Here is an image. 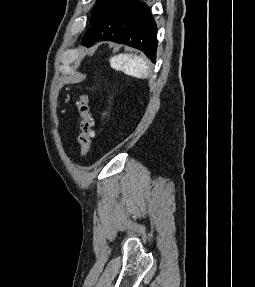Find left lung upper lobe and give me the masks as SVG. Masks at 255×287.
<instances>
[{"instance_id":"left-lung-upper-lobe-1","label":"left lung upper lobe","mask_w":255,"mask_h":287,"mask_svg":"<svg viewBox=\"0 0 255 287\" xmlns=\"http://www.w3.org/2000/svg\"><path fill=\"white\" fill-rule=\"evenodd\" d=\"M114 1L115 0H98L92 14L91 21L94 22L97 18H99L111 6Z\"/></svg>"}]
</instances>
